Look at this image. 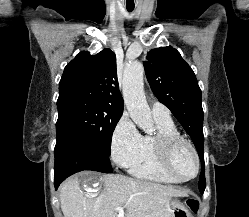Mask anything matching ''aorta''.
<instances>
[{
    "instance_id": "aorta-1",
    "label": "aorta",
    "mask_w": 249,
    "mask_h": 217,
    "mask_svg": "<svg viewBox=\"0 0 249 217\" xmlns=\"http://www.w3.org/2000/svg\"><path fill=\"white\" fill-rule=\"evenodd\" d=\"M144 68L139 62L130 64L123 75V96L133 122L145 132L153 128L150 108L144 95Z\"/></svg>"
}]
</instances>
